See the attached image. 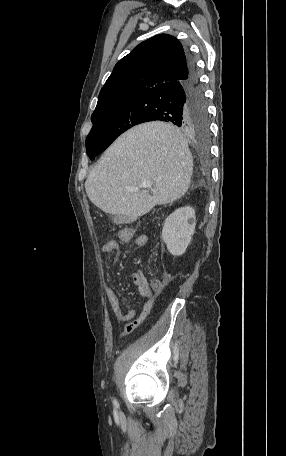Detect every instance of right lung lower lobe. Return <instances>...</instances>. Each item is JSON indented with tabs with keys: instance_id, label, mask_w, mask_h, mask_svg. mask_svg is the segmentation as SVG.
<instances>
[{
	"instance_id": "obj_1",
	"label": "right lung lower lobe",
	"mask_w": 286,
	"mask_h": 456,
	"mask_svg": "<svg viewBox=\"0 0 286 456\" xmlns=\"http://www.w3.org/2000/svg\"><path fill=\"white\" fill-rule=\"evenodd\" d=\"M136 99L142 107L141 123L160 120L191 131L208 117L195 62L189 55L185 76L142 92Z\"/></svg>"
}]
</instances>
